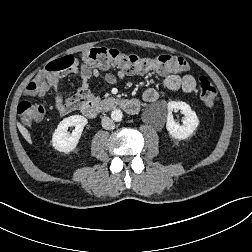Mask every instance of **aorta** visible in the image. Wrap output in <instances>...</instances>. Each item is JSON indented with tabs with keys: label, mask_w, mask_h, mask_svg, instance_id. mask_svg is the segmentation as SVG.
Returning a JSON list of instances; mask_svg holds the SVG:
<instances>
[{
	"label": "aorta",
	"mask_w": 252,
	"mask_h": 252,
	"mask_svg": "<svg viewBox=\"0 0 252 252\" xmlns=\"http://www.w3.org/2000/svg\"><path fill=\"white\" fill-rule=\"evenodd\" d=\"M112 120L120 122L123 118V112L120 109H115L111 113Z\"/></svg>",
	"instance_id": "aorta-1"
}]
</instances>
